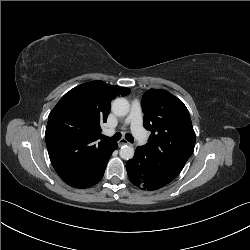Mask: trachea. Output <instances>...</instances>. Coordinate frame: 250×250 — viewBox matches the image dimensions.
Segmentation results:
<instances>
[{"label":"trachea","mask_w":250,"mask_h":250,"mask_svg":"<svg viewBox=\"0 0 250 250\" xmlns=\"http://www.w3.org/2000/svg\"><path fill=\"white\" fill-rule=\"evenodd\" d=\"M104 139L105 140H108V141H118L121 139V133L117 132L116 134H114L112 137H107V136H104ZM125 139L127 141H129L130 143H133L134 142V138L133 136L130 134V133H127L125 135Z\"/></svg>","instance_id":"1"}]
</instances>
